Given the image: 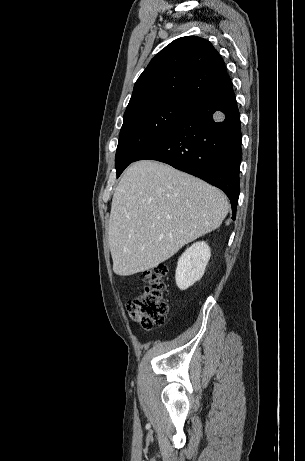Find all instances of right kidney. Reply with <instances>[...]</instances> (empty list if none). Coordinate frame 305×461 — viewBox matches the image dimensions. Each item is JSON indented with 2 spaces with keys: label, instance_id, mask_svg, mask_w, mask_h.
<instances>
[{
  "label": "right kidney",
  "instance_id": "right-kidney-1",
  "mask_svg": "<svg viewBox=\"0 0 305 461\" xmlns=\"http://www.w3.org/2000/svg\"><path fill=\"white\" fill-rule=\"evenodd\" d=\"M211 256L210 247L204 241L196 242L181 255L176 268V285L186 290L204 275Z\"/></svg>",
  "mask_w": 305,
  "mask_h": 461
}]
</instances>
